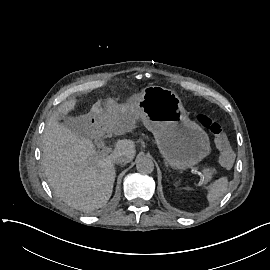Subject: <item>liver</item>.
<instances>
[{
  "instance_id": "6515ba94",
  "label": "liver",
  "mask_w": 270,
  "mask_h": 270,
  "mask_svg": "<svg viewBox=\"0 0 270 270\" xmlns=\"http://www.w3.org/2000/svg\"><path fill=\"white\" fill-rule=\"evenodd\" d=\"M76 100L63 103L58 113L67 114L74 109ZM128 114L113 120L109 130L117 135L131 132L141 111L135 106V97L130 99ZM103 125H107L102 119ZM43 157L45 175L55 195L75 209L92 211L103 207L111 197L115 181L113 155L122 154L131 161L135 156L132 141L119 140L113 153L102 157L96 154L89 138L79 136L57 121L49 119L43 134Z\"/></svg>"
}]
</instances>
